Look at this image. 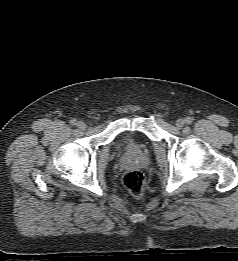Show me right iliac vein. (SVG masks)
Here are the masks:
<instances>
[{"label": "right iliac vein", "mask_w": 238, "mask_h": 261, "mask_svg": "<svg viewBox=\"0 0 238 261\" xmlns=\"http://www.w3.org/2000/svg\"><path fill=\"white\" fill-rule=\"evenodd\" d=\"M77 127H78L80 130H85L86 124H85L84 122H82V121H79V122L77 123Z\"/></svg>", "instance_id": "right-iliac-vein-1"}]
</instances>
